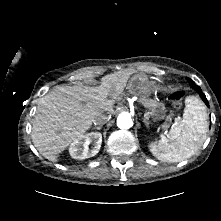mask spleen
I'll use <instances>...</instances> for the list:
<instances>
[{"instance_id": "obj_1", "label": "spleen", "mask_w": 221, "mask_h": 221, "mask_svg": "<svg viewBox=\"0 0 221 221\" xmlns=\"http://www.w3.org/2000/svg\"><path fill=\"white\" fill-rule=\"evenodd\" d=\"M206 107L196 96L185 99L183 118L175 122L167 136L149 145L150 152L163 162H180L203 145L208 130Z\"/></svg>"}]
</instances>
